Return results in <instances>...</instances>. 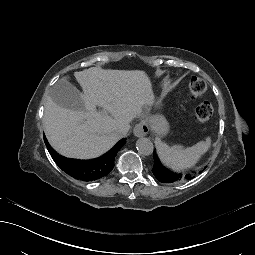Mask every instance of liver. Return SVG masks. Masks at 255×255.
<instances>
[{
	"instance_id": "obj_1",
	"label": "liver",
	"mask_w": 255,
	"mask_h": 255,
	"mask_svg": "<svg viewBox=\"0 0 255 255\" xmlns=\"http://www.w3.org/2000/svg\"><path fill=\"white\" fill-rule=\"evenodd\" d=\"M74 76L84 92L85 110L62 108L48 96L44 132L50 145L65 157L97 158L116 144L122 122L129 123L141 114L142 106L154 103L151 83L140 70L91 67ZM96 106L104 111L96 112Z\"/></svg>"
}]
</instances>
